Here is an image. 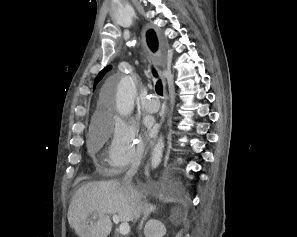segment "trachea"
Here are the masks:
<instances>
[{
    "label": "trachea",
    "instance_id": "obj_1",
    "mask_svg": "<svg viewBox=\"0 0 297 237\" xmlns=\"http://www.w3.org/2000/svg\"><path fill=\"white\" fill-rule=\"evenodd\" d=\"M153 75L157 78V72L152 69ZM155 90L157 92L158 95H163V85L160 79L157 80L156 85H155Z\"/></svg>",
    "mask_w": 297,
    "mask_h": 237
}]
</instances>
